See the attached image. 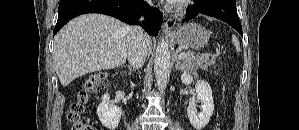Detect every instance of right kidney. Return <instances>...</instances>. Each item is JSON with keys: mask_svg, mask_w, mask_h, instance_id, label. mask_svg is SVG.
<instances>
[{"mask_svg": "<svg viewBox=\"0 0 299 130\" xmlns=\"http://www.w3.org/2000/svg\"><path fill=\"white\" fill-rule=\"evenodd\" d=\"M97 115L103 126L109 130H114L119 125L121 110L117 105L110 103L109 94H104L97 107Z\"/></svg>", "mask_w": 299, "mask_h": 130, "instance_id": "obj_1", "label": "right kidney"}]
</instances>
